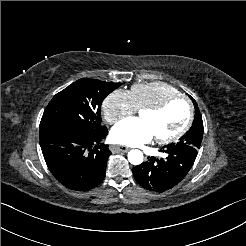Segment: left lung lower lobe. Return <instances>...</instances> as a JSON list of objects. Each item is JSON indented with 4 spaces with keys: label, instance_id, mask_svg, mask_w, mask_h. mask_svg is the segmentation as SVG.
<instances>
[{
    "label": "left lung lower lobe",
    "instance_id": "1",
    "mask_svg": "<svg viewBox=\"0 0 246 246\" xmlns=\"http://www.w3.org/2000/svg\"><path fill=\"white\" fill-rule=\"evenodd\" d=\"M160 152L166 153V157H148V161L133 169L136 181L155 192H163L177 185L187 175L197 156V149L188 145L169 144Z\"/></svg>",
    "mask_w": 246,
    "mask_h": 246
}]
</instances>
